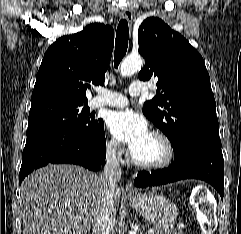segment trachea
Here are the masks:
<instances>
[{"label": "trachea", "mask_w": 241, "mask_h": 234, "mask_svg": "<svg viewBox=\"0 0 241 234\" xmlns=\"http://www.w3.org/2000/svg\"><path fill=\"white\" fill-rule=\"evenodd\" d=\"M128 39H129V27L126 19H121L117 31H116V39H115V51H114V64L117 68L120 64L122 58L125 56L127 48H128Z\"/></svg>", "instance_id": "1"}]
</instances>
